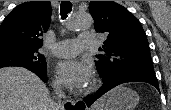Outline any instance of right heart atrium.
Instances as JSON below:
<instances>
[{"label":"right heart atrium","mask_w":171,"mask_h":110,"mask_svg":"<svg viewBox=\"0 0 171 110\" xmlns=\"http://www.w3.org/2000/svg\"><path fill=\"white\" fill-rule=\"evenodd\" d=\"M55 87L59 88V83L58 82H54Z\"/></svg>","instance_id":"right-heart-atrium-1"}]
</instances>
